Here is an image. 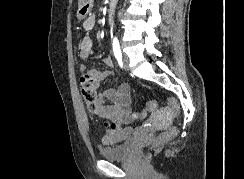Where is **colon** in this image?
I'll return each instance as SVG.
<instances>
[{"mask_svg":"<svg viewBox=\"0 0 244 179\" xmlns=\"http://www.w3.org/2000/svg\"><path fill=\"white\" fill-rule=\"evenodd\" d=\"M98 79L93 76H83L80 80V92L82 99L89 112H94L96 110V92L98 88ZM167 107H171L170 115H178L180 112V107H178L177 99H173L169 96L167 99ZM143 111H141L140 123L144 122V119H148V112H153L156 109L155 101H144ZM134 116L138 115L137 111L133 112ZM168 133H164V137H159V142H157V147H164V142H171V138H176L178 129L176 125H169L167 129Z\"/></svg>","mask_w":244,"mask_h":179,"instance_id":"5ec220e1","label":"colon"}]
</instances>
